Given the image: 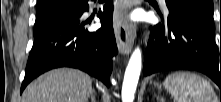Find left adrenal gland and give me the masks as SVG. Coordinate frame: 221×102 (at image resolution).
<instances>
[{
  "label": "left adrenal gland",
  "mask_w": 221,
  "mask_h": 102,
  "mask_svg": "<svg viewBox=\"0 0 221 102\" xmlns=\"http://www.w3.org/2000/svg\"><path fill=\"white\" fill-rule=\"evenodd\" d=\"M157 99H158L159 101H162V99H159L158 97H157Z\"/></svg>",
  "instance_id": "obj_1"
}]
</instances>
